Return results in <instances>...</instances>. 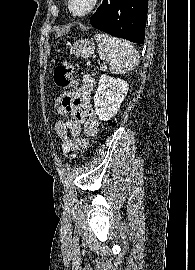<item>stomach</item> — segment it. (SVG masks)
I'll return each mask as SVG.
<instances>
[{
  "label": "stomach",
  "instance_id": "stomach-1",
  "mask_svg": "<svg viewBox=\"0 0 195 270\" xmlns=\"http://www.w3.org/2000/svg\"><path fill=\"white\" fill-rule=\"evenodd\" d=\"M67 46L70 47L71 54L82 58L91 56L95 49L93 41L89 39H80L73 44L68 42Z\"/></svg>",
  "mask_w": 195,
  "mask_h": 270
}]
</instances>
